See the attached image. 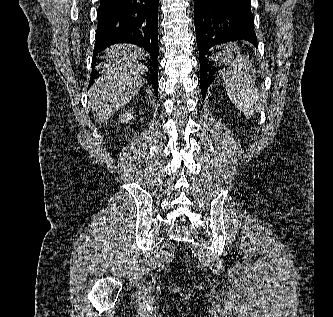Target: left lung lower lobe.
<instances>
[{
    "label": "left lung lower lobe",
    "mask_w": 333,
    "mask_h": 317,
    "mask_svg": "<svg viewBox=\"0 0 333 317\" xmlns=\"http://www.w3.org/2000/svg\"><path fill=\"white\" fill-rule=\"evenodd\" d=\"M194 24L199 50L200 88L208 87L223 68L211 48L230 41L246 40L257 47L251 0H195ZM218 51V50H217Z\"/></svg>",
    "instance_id": "obj_1"
}]
</instances>
